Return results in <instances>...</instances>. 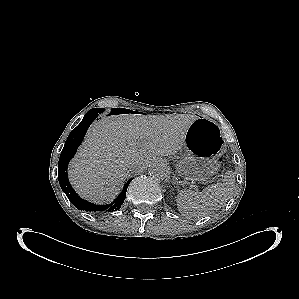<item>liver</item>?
<instances>
[{
	"mask_svg": "<svg viewBox=\"0 0 299 299\" xmlns=\"http://www.w3.org/2000/svg\"><path fill=\"white\" fill-rule=\"evenodd\" d=\"M197 117L188 114H122L95 121L68 175L76 192L96 203L112 201L131 174L142 171L156 156L177 153Z\"/></svg>",
	"mask_w": 299,
	"mask_h": 299,
	"instance_id": "6515ba94",
	"label": "liver"
}]
</instances>
